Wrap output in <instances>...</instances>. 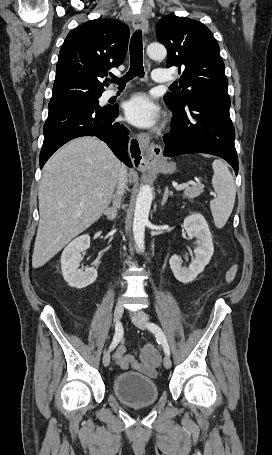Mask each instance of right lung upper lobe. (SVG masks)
I'll return each mask as SVG.
<instances>
[{"instance_id":"right-lung-upper-lobe-1","label":"right lung upper lobe","mask_w":272,"mask_h":455,"mask_svg":"<svg viewBox=\"0 0 272 455\" xmlns=\"http://www.w3.org/2000/svg\"><path fill=\"white\" fill-rule=\"evenodd\" d=\"M129 27L114 19H95L72 30L58 57L50 102L101 95L108 70L125 59Z\"/></svg>"}]
</instances>
